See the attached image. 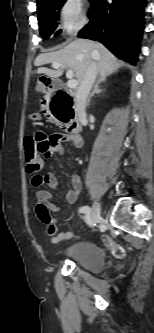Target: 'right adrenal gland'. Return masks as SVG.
<instances>
[{"instance_id":"obj_1","label":"right adrenal gland","mask_w":154,"mask_h":333,"mask_svg":"<svg viewBox=\"0 0 154 333\" xmlns=\"http://www.w3.org/2000/svg\"><path fill=\"white\" fill-rule=\"evenodd\" d=\"M105 82V77H100L97 82L94 85V89L92 91V93L89 95L88 99H87V105L89 104L91 98L94 96V94H99L101 92H103L104 90L100 89V84Z\"/></svg>"}]
</instances>
